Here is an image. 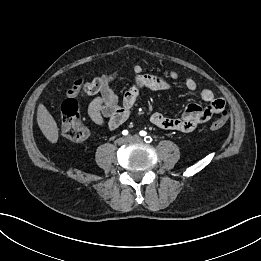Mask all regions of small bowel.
<instances>
[{
    "label": "small bowel",
    "mask_w": 261,
    "mask_h": 261,
    "mask_svg": "<svg viewBox=\"0 0 261 261\" xmlns=\"http://www.w3.org/2000/svg\"><path fill=\"white\" fill-rule=\"evenodd\" d=\"M135 79L130 88L125 92L122 102L119 103L118 96L113 89V83L117 77V72L104 74L100 94L96 96L88 105L87 113L93 123L99 126H106L110 129L118 128L128 118L131 108L136 103L141 89L165 90L171 87V82L166 78L153 74L143 73V67L135 64L132 67ZM168 78L172 81L180 79V75L175 70H168ZM185 88L190 92L198 90L196 81L186 76L183 78ZM85 94H92L83 92ZM94 94V93H93ZM201 99L207 103L201 106L197 103L189 104L180 118H168L161 112L151 115L150 121L155 126L179 132H192L200 125L206 123L213 115L219 114L225 108V101L216 98L213 91L202 88L199 91Z\"/></svg>",
    "instance_id": "1"
}]
</instances>
